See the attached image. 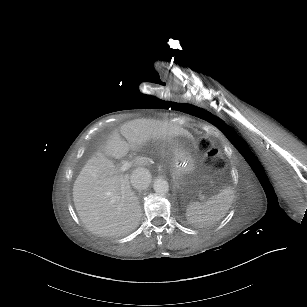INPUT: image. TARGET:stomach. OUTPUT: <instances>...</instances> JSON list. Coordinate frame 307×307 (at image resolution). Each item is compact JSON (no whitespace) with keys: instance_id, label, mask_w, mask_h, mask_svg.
<instances>
[{"instance_id":"0dacf381","label":"stomach","mask_w":307,"mask_h":307,"mask_svg":"<svg viewBox=\"0 0 307 307\" xmlns=\"http://www.w3.org/2000/svg\"><path fill=\"white\" fill-rule=\"evenodd\" d=\"M198 161V147L190 138H181L175 145L173 157V176L177 183L189 186L195 180Z\"/></svg>"}]
</instances>
